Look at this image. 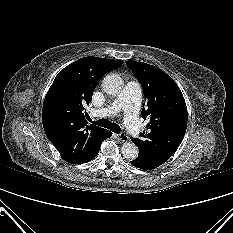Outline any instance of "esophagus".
I'll list each match as a JSON object with an SVG mask.
<instances>
[{"label":"esophagus","mask_w":233,"mask_h":233,"mask_svg":"<svg viewBox=\"0 0 233 233\" xmlns=\"http://www.w3.org/2000/svg\"><path fill=\"white\" fill-rule=\"evenodd\" d=\"M118 139L122 142H127L129 140V137L125 133L118 134Z\"/></svg>","instance_id":"obj_1"}]
</instances>
